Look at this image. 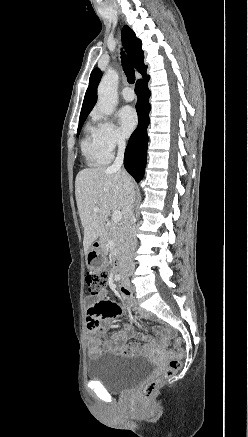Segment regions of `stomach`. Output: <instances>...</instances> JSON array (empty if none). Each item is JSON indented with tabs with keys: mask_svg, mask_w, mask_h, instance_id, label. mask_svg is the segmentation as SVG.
<instances>
[{
	"mask_svg": "<svg viewBox=\"0 0 248 437\" xmlns=\"http://www.w3.org/2000/svg\"><path fill=\"white\" fill-rule=\"evenodd\" d=\"M86 263L89 272H106V258L102 250H94L87 253Z\"/></svg>",
	"mask_w": 248,
	"mask_h": 437,
	"instance_id": "stomach-1",
	"label": "stomach"
}]
</instances>
